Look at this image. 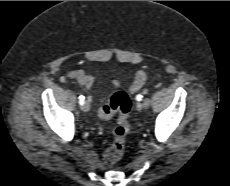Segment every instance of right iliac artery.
<instances>
[{"instance_id": "right-iliac-artery-1", "label": "right iliac artery", "mask_w": 230, "mask_h": 186, "mask_svg": "<svg viewBox=\"0 0 230 186\" xmlns=\"http://www.w3.org/2000/svg\"><path fill=\"white\" fill-rule=\"evenodd\" d=\"M84 102H85L84 96H83V95H80V96H79V103H80V105H83Z\"/></svg>"}]
</instances>
